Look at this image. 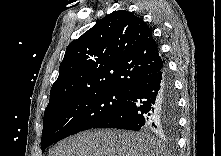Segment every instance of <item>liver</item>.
Returning <instances> with one entry per match:
<instances>
[{
  "label": "liver",
  "mask_w": 221,
  "mask_h": 156,
  "mask_svg": "<svg viewBox=\"0 0 221 156\" xmlns=\"http://www.w3.org/2000/svg\"><path fill=\"white\" fill-rule=\"evenodd\" d=\"M157 138L124 130H89L60 141L49 156H163Z\"/></svg>",
  "instance_id": "1"
}]
</instances>
